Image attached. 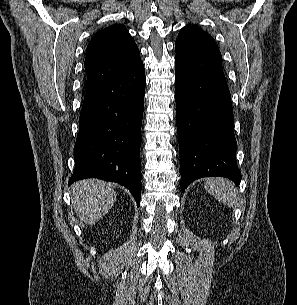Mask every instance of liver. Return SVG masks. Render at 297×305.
Returning <instances> with one entry per match:
<instances>
[{"mask_svg": "<svg viewBox=\"0 0 297 305\" xmlns=\"http://www.w3.org/2000/svg\"><path fill=\"white\" fill-rule=\"evenodd\" d=\"M116 200L111 183L86 179L72 186L71 201L76 215L84 224L92 225L105 216Z\"/></svg>", "mask_w": 297, "mask_h": 305, "instance_id": "1", "label": "liver"}]
</instances>
